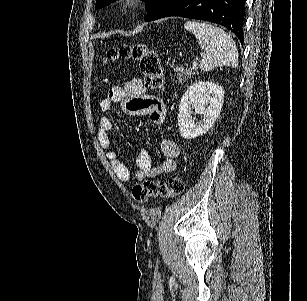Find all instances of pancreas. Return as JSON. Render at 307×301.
<instances>
[{
	"instance_id": "1",
	"label": "pancreas",
	"mask_w": 307,
	"mask_h": 301,
	"mask_svg": "<svg viewBox=\"0 0 307 301\" xmlns=\"http://www.w3.org/2000/svg\"><path fill=\"white\" fill-rule=\"evenodd\" d=\"M195 72H192V70H188V68H182V70H179L177 72V80L178 82H182V84H185V82H188V78H191Z\"/></svg>"
}]
</instances>
